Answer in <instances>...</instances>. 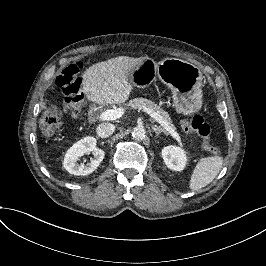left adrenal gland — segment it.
I'll list each match as a JSON object with an SVG mask.
<instances>
[{"instance_id":"1","label":"left adrenal gland","mask_w":266,"mask_h":266,"mask_svg":"<svg viewBox=\"0 0 266 266\" xmlns=\"http://www.w3.org/2000/svg\"><path fill=\"white\" fill-rule=\"evenodd\" d=\"M152 129L156 132V136H159L160 134H164L166 137L168 136V134L166 133L165 130H163L162 128L160 127H157V126H152Z\"/></svg>"}]
</instances>
